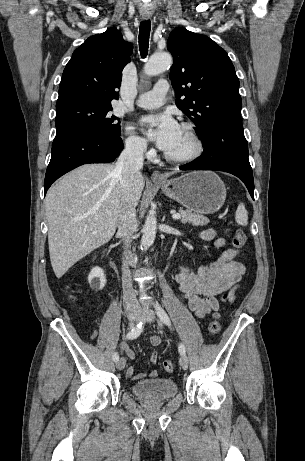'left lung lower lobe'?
<instances>
[{"label": "left lung lower lobe", "instance_id": "obj_1", "mask_svg": "<svg viewBox=\"0 0 305 461\" xmlns=\"http://www.w3.org/2000/svg\"><path fill=\"white\" fill-rule=\"evenodd\" d=\"M202 155L180 170H218L240 178L254 199V181L248 159V145L240 118L215 122L201 139Z\"/></svg>", "mask_w": 305, "mask_h": 461}]
</instances>
